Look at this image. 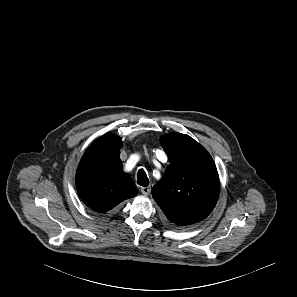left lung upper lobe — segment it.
Wrapping results in <instances>:
<instances>
[{"label":"left lung upper lobe","mask_w":297,"mask_h":297,"mask_svg":"<svg viewBox=\"0 0 297 297\" xmlns=\"http://www.w3.org/2000/svg\"><path fill=\"white\" fill-rule=\"evenodd\" d=\"M170 165L152 189V196L172 223L185 226L205 219L216 205L220 182L206 149L188 135L161 138Z\"/></svg>","instance_id":"obj_1"}]
</instances>
